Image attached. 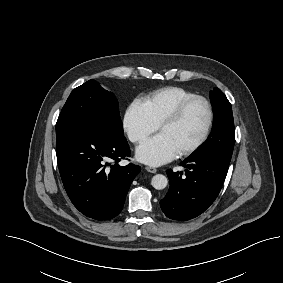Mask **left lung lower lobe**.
<instances>
[{"label":"left lung lower lobe","mask_w":283,"mask_h":283,"mask_svg":"<svg viewBox=\"0 0 283 283\" xmlns=\"http://www.w3.org/2000/svg\"><path fill=\"white\" fill-rule=\"evenodd\" d=\"M230 161L217 155H191L182 162L183 172L167 170L170 188L160 201L164 214L186 221L203 213L218 196Z\"/></svg>","instance_id":"0a47b994"}]
</instances>
